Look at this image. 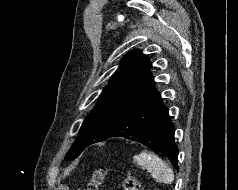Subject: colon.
I'll return each mask as SVG.
<instances>
[{
	"label": "colon",
	"instance_id": "5ec220e1",
	"mask_svg": "<svg viewBox=\"0 0 238 190\" xmlns=\"http://www.w3.org/2000/svg\"><path fill=\"white\" fill-rule=\"evenodd\" d=\"M107 172L108 170L105 167L96 169L92 173L87 190H98ZM123 190H141L138 179L134 175L127 173L123 181Z\"/></svg>",
	"mask_w": 238,
	"mask_h": 190
}]
</instances>
